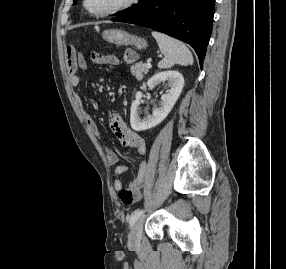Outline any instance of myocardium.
<instances>
[{
  "mask_svg": "<svg viewBox=\"0 0 286 269\" xmlns=\"http://www.w3.org/2000/svg\"><path fill=\"white\" fill-rule=\"evenodd\" d=\"M138 2H139V0H124L121 4H119L113 8L103 10V11L94 12V11L90 10V8H89L88 0H83V7L89 15H91L93 17H97V18H104V17H109V16L115 15L117 13L123 12L125 10H128L129 8L133 7Z\"/></svg>",
  "mask_w": 286,
  "mask_h": 269,
  "instance_id": "obj_1",
  "label": "myocardium"
}]
</instances>
